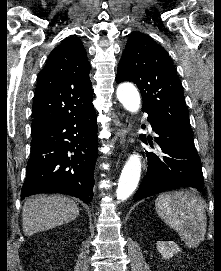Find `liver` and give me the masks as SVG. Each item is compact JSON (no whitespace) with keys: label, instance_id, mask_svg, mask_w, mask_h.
<instances>
[{"label":"liver","instance_id":"6515ba94","mask_svg":"<svg viewBox=\"0 0 221 271\" xmlns=\"http://www.w3.org/2000/svg\"><path fill=\"white\" fill-rule=\"evenodd\" d=\"M79 215V205L65 195H34L26 199L22 209L25 235L51 229L73 221Z\"/></svg>","mask_w":221,"mask_h":271}]
</instances>
